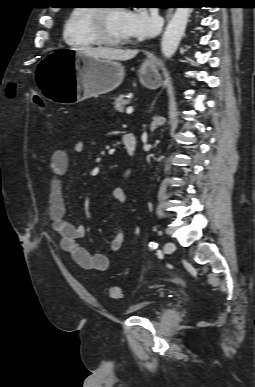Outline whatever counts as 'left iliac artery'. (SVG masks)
Listing matches in <instances>:
<instances>
[{
    "label": "left iliac artery",
    "mask_w": 255,
    "mask_h": 387,
    "mask_svg": "<svg viewBox=\"0 0 255 387\" xmlns=\"http://www.w3.org/2000/svg\"><path fill=\"white\" fill-rule=\"evenodd\" d=\"M149 247L151 249H156L158 247V244L156 242H150Z\"/></svg>",
    "instance_id": "obj_1"
}]
</instances>
